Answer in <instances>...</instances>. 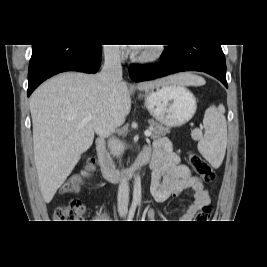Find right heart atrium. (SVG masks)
I'll use <instances>...</instances> for the list:
<instances>
[{"instance_id": "1", "label": "right heart atrium", "mask_w": 267, "mask_h": 267, "mask_svg": "<svg viewBox=\"0 0 267 267\" xmlns=\"http://www.w3.org/2000/svg\"><path fill=\"white\" fill-rule=\"evenodd\" d=\"M106 55L109 57V58H112V59H115L118 57L119 55V52L117 49L115 48H109L106 50Z\"/></svg>"}]
</instances>
